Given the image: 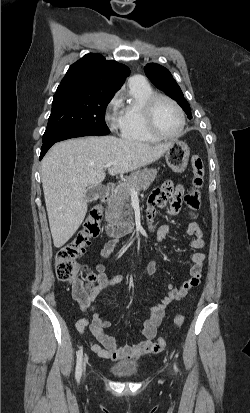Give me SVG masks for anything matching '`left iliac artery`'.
<instances>
[{"instance_id":"left-iliac-artery-1","label":"left iliac artery","mask_w":250,"mask_h":413,"mask_svg":"<svg viewBox=\"0 0 250 413\" xmlns=\"http://www.w3.org/2000/svg\"><path fill=\"white\" fill-rule=\"evenodd\" d=\"M174 370H175V372L178 371V368H177L176 364H174Z\"/></svg>"}]
</instances>
